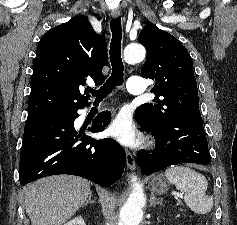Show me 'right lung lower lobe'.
Here are the masks:
<instances>
[{
  "mask_svg": "<svg viewBox=\"0 0 237 225\" xmlns=\"http://www.w3.org/2000/svg\"><path fill=\"white\" fill-rule=\"evenodd\" d=\"M83 107L27 118L20 153L22 185L56 174L81 176L101 186H110L122 177L124 149L113 139L94 140L74 129L77 110ZM110 121L111 113L102 112L88 131L100 132Z\"/></svg>",
  "mask_w": 237,
  "mask_h": 225,
  "instance_id": "right-lung-lower-lobe-1",
  "label": "right lung lower lobe"
}]
</instances>
